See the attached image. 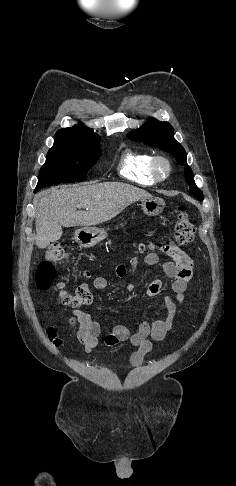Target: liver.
Instances as JSON below:
<instances>
[{"mask_svg": "<svg viewBox=\"0 0 236 486\" xmlns=\"http://www.w3.org/2000/svg\"><path fill=\"white\" fill-rule=\"evenodd\" d=\"M41 195L35 217L37 246L45 241L44 230L49 223L64 227L97 225L130 204L152 197L143 189L119 182L53 187ZM78 206L86 210L76 211Z\"/></svg>", "mask_w": 236, "mask_h": 486, "instance_id": "obj_1", "label": "liver"}]
</instances>
